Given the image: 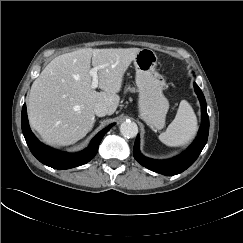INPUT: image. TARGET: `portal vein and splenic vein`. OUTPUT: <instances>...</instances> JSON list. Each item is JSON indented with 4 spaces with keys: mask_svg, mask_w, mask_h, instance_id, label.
Returning <instances> with one entry per match:
<instances>
[{
    "mask_svg": "<svg viewBox=\"0 0 243 243\" xmlns=\"http://www.w3.org/2000/svg\"><path fill=\"white\" fill-rule=\"evenodd\" d=\"M101 68H104L103 65H100V66H97V67H94L92 69H90L89 71V74L90 76L92 77V84H91V87L93 89H96L98 87V84H99V78H98V70L101 69Z\"/></svg>",
    "mask_w": 243,
    "mask_h": 243,
    "instance_id": "portal-vein-and-splenic-vein-1",
    "label": "portal vein and splenic vein"
}]
</instances>
